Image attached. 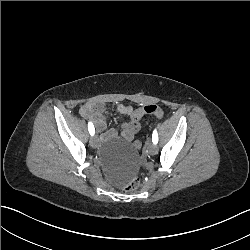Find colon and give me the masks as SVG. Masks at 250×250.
I'll use <instances>...</instances> for the list:
<instances>
[{
  "label": "colon",
  "mask_w": 250,
  "mask_h": 250,
  "mask_svg": "<svg viewBox=\"0 0 250 250\" xmlns=\"http://www.w3.org/2000/svg\"><path fill=\"white\" fill-rule=\"evenodd\" d=\"M150 113H154L155 116L157 117H162L163 116V111L161 109H159L157 106L155 105H148L146 107H142L136 111H134L132 114H131V119L134 120L135 122H138L142 116H145L147 114H150ZM134 147L135 148H140L142 143L140 140H135L134 143H133ZM142 182V177L141 176H135L131 182L128 183L127 186H122L121 187V193L122 194H127V193H133L135 191V188L137 186H139Z\"/></svg>",
  "instance_id": "obj_1"
}]
</instances>
